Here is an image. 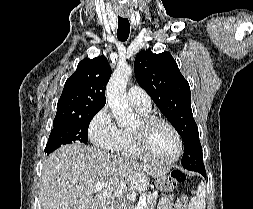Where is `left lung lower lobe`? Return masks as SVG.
<instances>
[{
    "label": "left lung lower lobe",
    "mask_w": 253,
    "mask_h": 209,
    "mask_svg": "<svg viewBox=\"0 0 253 209\" xmlns=\"http://www.w3.org/2000/svg\"><path fill=\"white\" fill-rule=\"evenodd\" d=\"M192 171H196V172H199L201 173L204 177H206V171H205V167H204V164L203 163H200L199 165H197L195 167L194 170Z\"/></svg>",
    "instance_id": "obj_1"
}]
</instances>
